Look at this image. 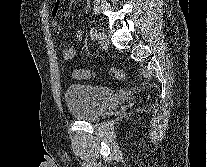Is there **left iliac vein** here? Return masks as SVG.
Listing matches in <instances>:
<instances>
[{"mask_svg":"<svg viewBox=\"0 0 207 167\" xmlns=\"http://www.w3.org/2000/svg\"><path fill=\"white\" fill-rule=\"evenodd\" d=\"M97 40H98V43L99 45L102 47V48H107L108 45H109V40L106 36V34L102 31H100L97 35Z\"/></svg>","mask_w":207,"mask_h":167,"instance_id":"obj_1","label":"left iliac vein"}]
</instances>
